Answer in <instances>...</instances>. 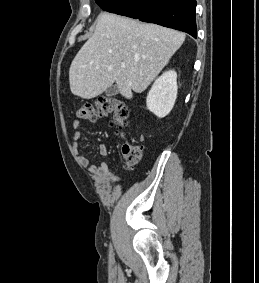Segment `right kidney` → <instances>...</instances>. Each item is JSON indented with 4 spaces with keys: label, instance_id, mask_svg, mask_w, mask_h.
<instances>
[{
    "label": "right kidney",
    "instance_id": "ca27d5eb",
    "mask_svg": "<svg viewBox=\"0 0 259 283\" xmlns=\"http://www.w3.org/2000/svg\"><path fill=\"white\" fill-rule=\"evenodd\" d=\"M177 98V73L164 72L152 85L146 99L148 110L163 118L172 110Z\"/></svg>",
    "mask_w": 259,
    "mask_h": 283
}]
</instances>
